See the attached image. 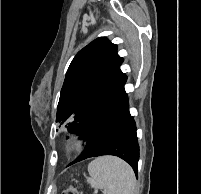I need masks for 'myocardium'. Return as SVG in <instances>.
Listing matches in <instances>:
<instances>
[{
  "instance_id": "1",
  "label": "myocardium",
  "mask_w": 201,
  "mask_h": 194,
  "mask_svg": "<svg viewBox=\"0 0 201 194\" xmlns=\"http://www.w3.org/2000/svg\"><path fill=\"white\" fill-rule=\"evenodd\" d=\"M87 144V139L83 135H75L70 137L64 146L67 154H76L81 152Z\"/></svg>"
}]
</instances>
